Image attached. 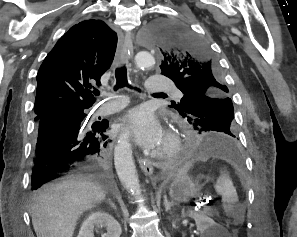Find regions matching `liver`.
<instances>
[{
  "label": "liver",
  "instance_id": "obj_1",
  "mask_svg": "<svg viewBox=\"0 0 297 237\" xmlns=\"http://www.w3.org/2000/svg\"><path fill=\"white\" fill-rule=\"evenodd\" d=\"M106 192L87 176L74 175L46 185L31 204L32 224L37 237H73L79 217L99 204Z\"/></svg>",
  "mask_w": 297,
  "mask_h": 237
}]
</instances>
